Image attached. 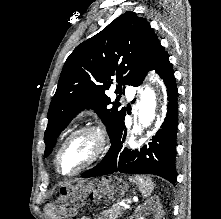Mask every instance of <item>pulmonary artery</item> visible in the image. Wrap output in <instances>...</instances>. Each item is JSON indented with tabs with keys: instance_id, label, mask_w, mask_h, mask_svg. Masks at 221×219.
Masks as SVG:
<instances>
[{
	"instance_id": "obj_1",
	"label": "pulmonary artery",
	"mask_w": 221,
	"mask_h": 219,
	"mask_svg": "<svg viewBox=\"0 0 221 219\" xmlns=\"http://www.w3.org/2000/svg\"><path fill=\"white\" fill-rule=\"evenodd\" d=\"M125 93L128 95V96H132L133 95V89L131 86L129 85H125Z\"/></svg>"
}]
</instances>
